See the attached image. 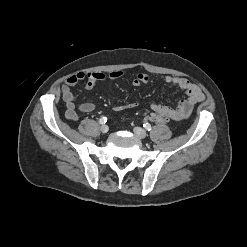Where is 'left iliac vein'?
<instances>
[{
	"mask_svg": "<svg viewBox=\"0 0 247 247\" xmlns=\"http://www.w3.org/2000/svg\"><path fill=\"white\" fill-rule=\"evenodd\" d=\"M133 131L136 134V136L139 137L140 139H144L147 136V133L143 128L135 127Z\"/></svg>",
	"mask_w": 247,
	"mask_h": 247,
	"instance_id": "1",
	"label": "left iliac vein"
}]
</instances>
